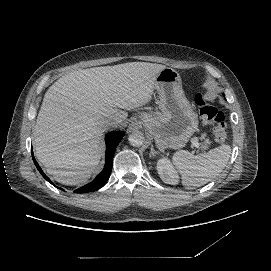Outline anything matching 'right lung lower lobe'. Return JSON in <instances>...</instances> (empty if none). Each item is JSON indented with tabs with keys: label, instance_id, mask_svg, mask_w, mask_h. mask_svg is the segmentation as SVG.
Segmentation results:
<instances>
[{
	"label": "right lung lower lobe",
	"instance_id": "1",
	"mask_svg": "<svg viewBox=\"0 0 271 271\" xmlns=\"http://www.w3.org/2000/svg\"><path fill=\"white\" fill-rule=\"evenodd\" d=\"M123 136H124V132H111L106 136V147H107L106 163H105V167L103 171L91 183L75 190L76 193L92 192V191L98 190L99 188L103 187L106 184L112 171V162H113L114 152L116 150L117 145L123 138ZM32 155H33V151H32ZM33 161L37 169L39 170V172L42 174V176L48 182L53 184L52 181L43 173L42 169L40 168V166L38 165L34 157H33Z\"/></svg>",
	"mask_w": 271,
	"mask_h": 271
}]
</instances>
